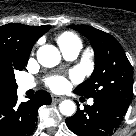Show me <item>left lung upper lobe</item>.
Returning a JSON list of instances; mask_svg holds the SVG:
<instances>
[{"label":"left lung upper lobe","mask_w":136,"mask_h":136,"mask_svg":"<svg viewBox=\"0 0 136 136\" xmlns=\"http://www.w3.org/2000/svg\"><path fill=\"white\" fill-rule=\"evenodd\" d=\"M70 27L87 37L95 52L94 72L75 92L85 97L129 103L133 96L132 67L119 42L110 34L87 25Z\"/></svg>","instance_id":"obj_1"}]
</instances>
